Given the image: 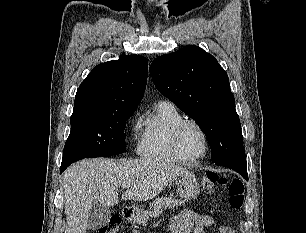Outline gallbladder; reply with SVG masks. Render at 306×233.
<instances>
[{
  "instance_id": "1",
  "label": "gallbladder",
  "mask_w": 306,
  "mask_h": 233,
  "mask_svg": "<svg viewBox=\"0 0 306 233\" xmlns=\"http://www.w3.org/2000/svg\"><path fill=\"white\" fill-rule=\"evenodd\" d=\"M110 216L111 211L109 207L97 204L89 212L88 227L94 230L99 229L109 221Z\"/></svg>"
}]
</instances>
